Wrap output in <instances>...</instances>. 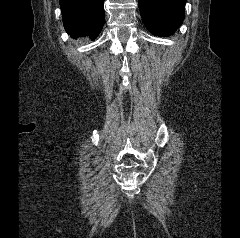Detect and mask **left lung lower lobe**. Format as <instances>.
I'll return each mask as SVG.
<instances>
[{
	"label": "left lung lower lobe",
	"instance_id": "1",
	"mask_svg": "<svg viewBox=\"0 0 240 238\" xmlns=\"http://www.w3.org/2000/svg\"><path fill=\"white\" fill-rule=\"evenodd\" d=\"M186 0H139V9L148 30L158 36L172 35L184 20Z\"/></svg>",
	"mask_w": 240,
	"mask_h": 238
}]
</instances>
